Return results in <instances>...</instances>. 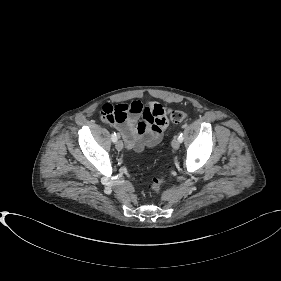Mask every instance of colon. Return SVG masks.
I'll list each match as a JSON object with an SVG mask.
<instances>
[{
	"label": "colon",
	"instance_id": "obj_1",
	"mask_svg": "<svg viewBox=\"0 0 281 281\" xmlns=\"http://www.w3.org/2000/svg\"><path fill=\"white\" fill-rule=\"evenodd\" d=\"M140 109L138 102H135L132 106L131 104H119L116 106L105 105L101 112L102 117L110 122L121 123L124 122L130 112H137ZM187 115L185 112L176 110L170 114L171 122L174 124H180L186 119ZM167 182L166 178L154 179L151 184V189L159 193L162 186Z\"/></svg>",
	"mask_w": 281,
	"mask_h": 281
}]
</instances>
